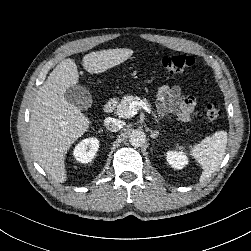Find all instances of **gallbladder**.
Instances as JSON below:
<instances>
[{
  "label": "gallbladder",
  "mask_w": 251,
  "mask_h": 251,
  "mask_svg": "<svg viewBox=\"0 0 251 251\" xmlns=\"http://www.w3.org/2000/svg\"><path fill=\"white\" fill-rule=\"evenodd\" d=\"M64 97L69 103L74 104L80 109L87 110L92 105V97L89 91L80 85L69 87Z\"/></svg>",
  "instance_id": "1"
}]
</instances>
